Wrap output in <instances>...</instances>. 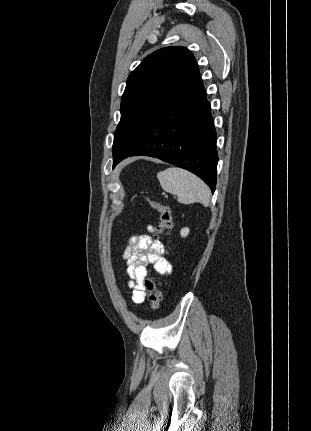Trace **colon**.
Masks as SVG:
<instances>
[{
	"label": "colon",
	"instance_id": "5ec220e1",
	"mask_svg": "<svg viewBox=\"0 0 311 431\" xmlns=\"http://www.w3.org/2000/svg\"><path fill=\"white\" fill-rule=\"evenodd\" d=\"M149 205L160 215V221L155 227V237L157 239H165L171 229L172 216L171 210L168 206L153 200H148ZM145 287L148 291V297L151 302L153 310H157L160 307L162 294L156 285L153 277L148 276L145 279Z\"/></svg>",
	"mask_w": 311,
	"mask_h": 431
}]
</instances>
